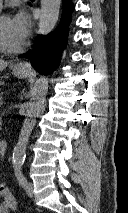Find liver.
<instances>
[{
	"label": "liver",
	"instance_id": "liver-1",
	"mask_svg": "<svg viewBox=\"0 0 128 213\" xmlns=\"http://www.w3.org/2000/svg\"><path fill=\"white\" fill-rule=\"evenodd\" d=\"M8 66V62L4 60H0V71L5 69Z\"/></svg>",
	"mask_w": 128,
	"mask_h": 213
}]
</instances>
